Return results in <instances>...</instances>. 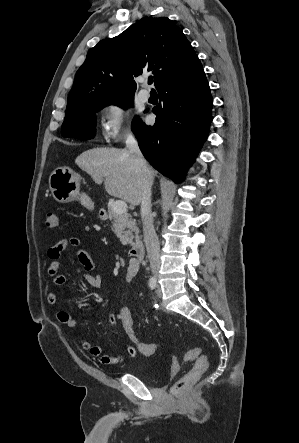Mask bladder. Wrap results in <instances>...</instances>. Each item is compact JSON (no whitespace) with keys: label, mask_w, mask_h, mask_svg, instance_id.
Instances as JSON below:
<instances>
[{"label":"bladder","mask_w":299,"mask_h":443,"mask_svg":"<svg viewBox=\"0 0 299 443\" xmlns=\"http://www.w3.org/2000/svg\"><path fill=\"white\" fill-rule=\"evenodd\" d=\"M132 374L140 378L143 382L153 386L162 383L168 376V372L158 373L154 370L148 369L144 365V362L138 364L132 370Z\"/></svg>","instance_id":"1"}]
</instances>
